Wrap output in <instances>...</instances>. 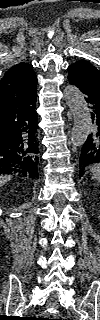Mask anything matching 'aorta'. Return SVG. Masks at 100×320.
<instances>
[{
  "label": "aorta",
  "instance_id": "aorta-1",
  "mask_svg": "<svg viewBox=\"0 0 100 320\" xmlns=\"http://www.w3.org/2000/svg\"><path fill=\"white\" fill-rule=\"evenodd\" d=\"M63 94L74 120L71 143L75 147H80L85 143L90 133L91 114L87 102L77 87L67 85Z\"/></svg>",
  "mask_w": 100,
  "mask_h": 320
}]
</instances>
